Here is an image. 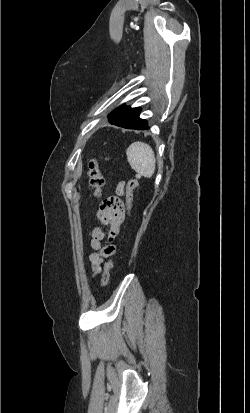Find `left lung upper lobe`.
I'll use <instances>...</instances> for the list:
<instances>
[{"mask_svg": "<svg viewBox=\"0 0 250 413\" xmlns=\"http://www.w3.org/2000/svg\"><path fill=\"white\" fill-rule=\"evenodd\" d=\"M119 108H120V107H119ZM119 108H117V109H115L114 111H112L108 116H110V115L113 114V113L119 112Z\"/></svg>", "mask_w": 250, "mask_h": 413, "instance_id": "5c2ea615", "label": "left lung upper lobe"}]
</instances>
